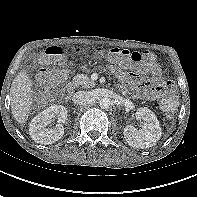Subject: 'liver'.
I'll list each match as a JSON object with an SVG mask.
<instances>
[{
	"label": "liver",
	"instance_id": "1",
	"mask_svg": "<svg viewBox=\"0 0 197 197\" xmlns=\"http://www.w3.org/2000/svg\"><path fill=\"white\" fill-rule=\"evenodd\" d=\"M32 82L26 71H20L11 85L12 116L19 124H24L32 106Z\"/></svg>",
	"mask_w": 197,
	"mask_h": 197
}]
</instances>
